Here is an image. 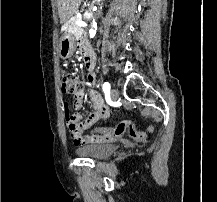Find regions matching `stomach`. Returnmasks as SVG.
<instances>
[{
    "label": "stomach",
    "instance_id": "stomach-1",
    "mask_svg": "<svg viewBox=\"0 0 217 202\" xmlns=\"http://www.w3.org/2000/svg\"><path fill=\"white\" fill-rule=\"evenodd\" d=\"M75 46V38L73 34H62L59 44V56L66 60V58H71L73 56Z\"/></svg>",
    "mask_w": 217,
    "mask_h": 202
}]
</instances>
